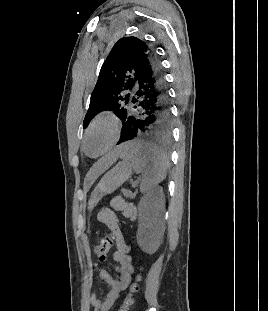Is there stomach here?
Returning <instances> with one entry per match:
<instances>
[{
	"instance_id": "1",
	"label": "stomach",
	"mask_w": 268,
	"mask_h": 311,
	"mask_svg": "<svg viewBox=\"0 0 268 311\" xmlns=\"http://www.w3.org/2000/svg\"><path fill=\"white\" fill-rule=\"evenodd\" d=\"M133 166L128 160L119 162L108 171L91 193L89 208H92L103 196L113 193L132 175Z\"/></svg>"
}]
</instances>
